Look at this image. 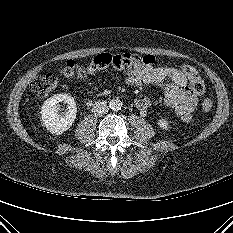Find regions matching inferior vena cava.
Wrapping results in <instances>:
<instances>
[{
    "mask_svg": "<svg viewBox=\"0 0 233 233\" xmlns=\"http://www.w3.org/2000/svg\"><path fill=\"white\" fill-rule=\"evenodd\" d=\"M109 110V107L106 102H95L92 106V112L97 116H102L106 114Z\"/></svg>",
    "mask_w": 233,
    "mask_h": 233,
    "instance_id": "1",
    "label": "inferior vena cava"
}]
</instances>
